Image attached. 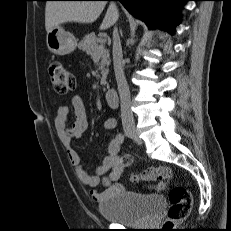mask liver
<instances>
[{"instance_id": "1", "label": "liver", "mask_w": 231, "mask_h": 231, "mask_svg": "<svg viewBox=\"0 0 231 231\" xmlns=\"http://www.w3.org/2000/svg\"><path fill=\"white\" fill-rule=\"evenodd\" d=\"M106 1H48L45 8V28L49 33L62 23H93L102 13ZM115 3H110L100 25L101 30L110 28L118 19Z\"/></svg>"}]
</instances>
